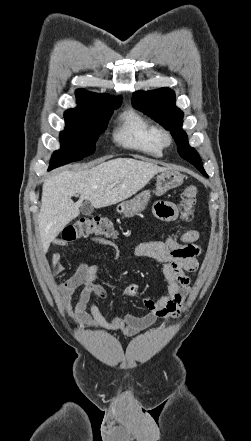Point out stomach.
<instances>
[{
  "mask_svg": "<svg viewBox=\"0 0 251 441\" xmlns=\"http://www.w3.org/2000/svg\"><path fill=\"white\" fill-rule=\"evenodd\" d=\"M184 176L177 170L167 169L157 176L155 195L160 196L168 190L177 188L183 184ZM151 197V192L146 190L136 195L134 198L121 202L116 210L125 217H133L142 212Z\"/></svg>",
  "mask_w": 251,
  "mask_h": 441,
  "instance_id": "obj_1",
  "label": "stomach"
}]
</instances>
